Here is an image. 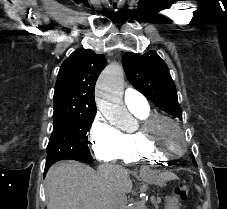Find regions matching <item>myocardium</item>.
I'll return each instance as SVG.
<instances>
[{"mask_svg":"<svg viewBox=\"0 0 227 209\" xmlns=\"http://www.w3.org/2000/svg\"><path fill=\"white\" fill-rule=\"evenodd\" d=\"M161 121H168L173 124L176 129L182 134L185 139V145L181 151H171L165 152L160 145L156 143L153 139V131L156 128L157 124ZM138 137L143 142V144L148 148L152 153L161 156L164 159H171L184 155L189 147L190 140L187 136L185 129L182 127L180 122L172 116L153 113L148 117L140 121L139 128L137 130Z\"/></svg>","mask_w":227,"mask_h":209,"instance_id":"obj_1","label":"myocardium"}]
</instances>
